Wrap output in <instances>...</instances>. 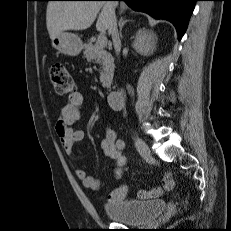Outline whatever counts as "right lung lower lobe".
Instances as JSON below:
<instances>
[{
	"label": "right lung lower lobe",
	"mask_w": 231,
	"mask_h": 231,
	"mask_svg": "<svg viewBox=\"0 0 231 231\" xmlns=\"http://www.w3.org/2000/svg\"><path fill=\"white\" fill-rule=\"evenodd\" d=\"M101 1V0H94ZM125 1L136 11L148 13L154 18L167 19L176 27L178 38L184 35L197 0H118Z\"/></svg>",
	"instance_id": "1"
}]
</instances>
